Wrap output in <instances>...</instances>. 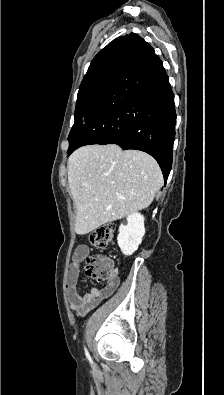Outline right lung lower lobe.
<instances>
[{
    "label": "right lung lower lobe",
    "instance_id": "98d812e1",
    "mask_svg": "<svg viewBox=\"0 0 224 395\" xmlns=\"http://www.w3.org/2000/svg\"><path fill=\"white\" fill-rule=\"evenodd\" d=\"M175 124L169 78L154 49L144 41L67 153L88 144L141 150L157 160L166 182L172 166Z\"/></svg>",
    "mask_w": 224,
    "mask_h": 395
}]
</instances>
